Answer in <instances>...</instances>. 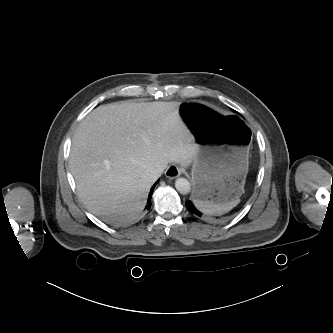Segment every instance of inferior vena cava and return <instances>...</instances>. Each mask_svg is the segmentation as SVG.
<instances>
[{
	"label": "inferior vena cava",
	"instance_id": "obj_1",
	"mask_svg": "<svg viewBox=\"0 0 333 333\" xmlns=\"http://www.w3.org/2000/svg\"><path fill=\"white\" fill-rule=\"evenodd\" d=\"M163 170L164 169L162 167L148 169L145 172V176H148V177L156 180L157 178L160 177V175L162 174Z\"/></svg>",
	"mask_w": 333,
	"mask_h": 333
}]
</instances>
